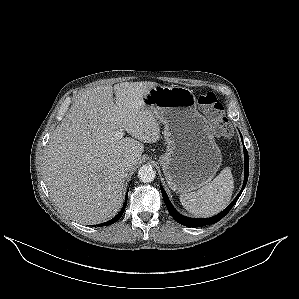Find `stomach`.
<instances>
[{
    "label": "stomach",
    "mask_w": 299,
    "mask_h": 299,
    "mask_svg": "<svg viewBox=\"0 0 299 299\" xmlns=\"http://www.w3.org/2000/svg\"><path fill=\"white\" fill-rule=\"evenodd\" d=\"M143 102L164 125L167 149L159 163L169 187L186 193L210 183L222 155L209 121L197 111L193 91L158 85L149 90Z\"/></svg>",
    "instance_id": "1"
}]
</instances>
